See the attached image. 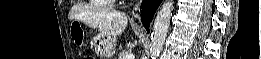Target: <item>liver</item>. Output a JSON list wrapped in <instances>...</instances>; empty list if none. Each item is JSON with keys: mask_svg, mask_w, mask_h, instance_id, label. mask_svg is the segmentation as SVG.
Returning <instances> with one entry per match:
<instances>
[{"mask_svg": "<svg viewBox=\"0 0 261 59\" xmlns=\"http://www.w3.org/2000/svg\"><path fill=\"white\" fill-rule=\"evenodd\" d=\"M73 16H70L72 19ZM82 19L89 27L98 29L104 36L116 37L121 35L127 27L128 18L126 14L114 10H104L91 13Z\"/></svg>", "mask_w": 261, "mask_h": 59, "instance_id": "6515ba94", "label": "liver"}]
</instances>
